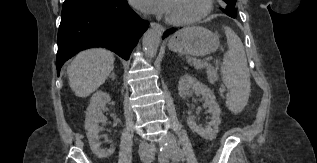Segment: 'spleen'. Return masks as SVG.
I'll list each match as a JSON object with an SVG mask.
<instances>
[{
    "mask_svg": "<svg viewBox=\"0 0 317 163\" xmlns=\"http://www.w3.org/2000/svg\"><path fill=\"white\" fill-rule=\"evenodd\" d=\"M228 51L221 67L222 81L228 89L226 106L239 113L247 104L250 94V74L242 41L229 27H224Z\"/></svg>",
    "mask_w": 317,
    "mask_h": 163,
    "instance_id": "spleen-1",
    "label": "spleen"
}]
</instances>
